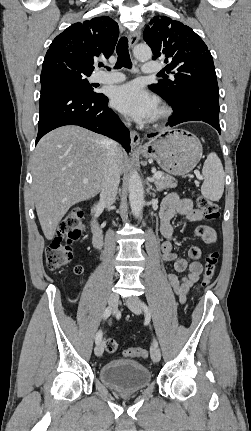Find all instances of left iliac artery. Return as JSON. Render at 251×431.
I'll return each instance as SVG.
<instances>
[{
	"label": "left iliac artery",
	"mask_w": 251,
	"mask_h": 431,
	"mask_svg": "<svg viewBox=\"0 0 251 431\" xmlns=\"http://www.w3.org/2000/svg\"><path fill=\"white\" fill-rule=\"evenodd\" d=\"M142 307L144 308V310H145L146 312H148V311H149V308L146 306V304L142 303Z\"/></svg>",
	"instance_id": "left-iliac-artery-1"
}]
</instances>
